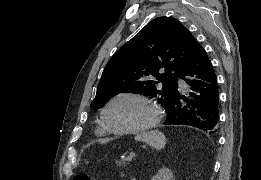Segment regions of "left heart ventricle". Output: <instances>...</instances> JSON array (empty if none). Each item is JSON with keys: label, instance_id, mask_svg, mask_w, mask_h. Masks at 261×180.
I'll use <instances>...</instances> for the list:
<instances>
[{"label": "left heart ventricle", "instance_id": "left-heart-ventricle-1", "mask_svg": "<svg viewBox=\"0 0 261 180\" xmlns=\"http://www.w3.org/2000/svg\"><path fill=\"white\" fill-rule=\"evenodd\" d=\"M150 110L144 102L134 98H123L108 110L110 126L117 131H132L144 126Z\"/></svg>", "mask_w": 261, "mask_h": 180}]
</instances>
